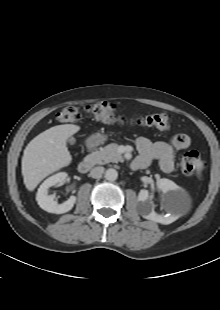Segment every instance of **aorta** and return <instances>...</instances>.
I'll return each instance as SVG.
<instances>
[{
	"instance_id": "aorta-1",
	"label": "aorta",
	"mask_w": 220,
	"mask_h": 310,
	"mask_svg": "<svg viewBox=\"0 0 220 310\" xmlns=\"http://www.w3.org/2000/svg\"><path fill=\"white\" fill-rule=\"evenodd\" d=\"M118 177V172L113 169V168H109L106 170L105 172V178L108 180V181H115Z\"/></svg>"
}]
</instances>
